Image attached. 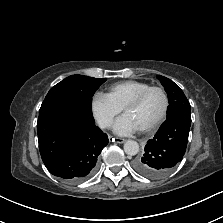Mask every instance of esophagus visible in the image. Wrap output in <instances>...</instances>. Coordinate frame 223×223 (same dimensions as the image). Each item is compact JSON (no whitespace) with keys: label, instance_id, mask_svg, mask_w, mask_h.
Segmentation results:
<instances>
[{"label":"esophagus","instance_id":"esophagus-1","mask_svg":"<svg viewBox=\"0 0 223 223\" xmlns=\"http://www.w3.org/2000/svg\"><path fill=\"white\" fill-rule=\"evenodd\" d=\"M112 141H113V142H116V143H119V144H122V143H124L126 140L123 139V138H119V137H113V138H112Z\"/></svg>","mask_w":223,"mask_h":223}]
</instances>
